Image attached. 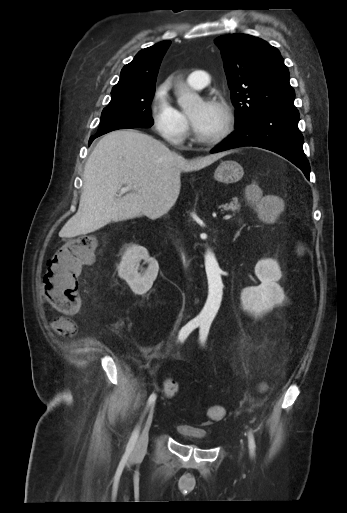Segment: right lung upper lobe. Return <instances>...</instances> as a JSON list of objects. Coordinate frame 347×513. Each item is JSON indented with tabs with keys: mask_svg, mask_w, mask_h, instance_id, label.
<instances>
[{
	"mask_svg": "<svg viewBox=\"0 0 347 513\" xmlns=\"http://www.w3.org/2000/svg\"><path fill=\"white\" fill-rule=\"evenodd\" d=\"M170 41H161L139 51L132 62L123 67L119 82L112 91L125 88L155 87L159 66Z\"/></svg>",
	"mask_w": 347,
	"mask_h": 513,
	"instance_id": "right-lung-upper-lobe-1",
	"label": "right lung upper lobe"
}]
</instances>
